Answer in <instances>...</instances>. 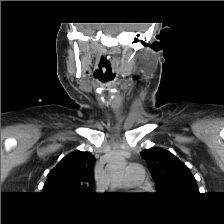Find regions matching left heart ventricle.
I'll return each mask as SVG.
<instances>
[{"label":"left heart ventricle","mask_w":224,"mask_h":224,"mask_svg":"<svg viewBox=\"0 0 224 224\" xmlns=\"http://www.w3.org/2000/svg\"><path fill=\"white\" fill-rule=\"evenodd\" d=\"M124 179L121 181V184H123Z\"/></svg>","instance_id":"left-heart-ventricle-1"}]
</instances>
